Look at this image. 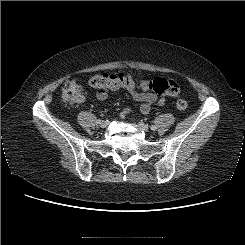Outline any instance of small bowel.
Masks as SVG:
<instances>
[{
    "mask_svg": "<svg viewBox=\"0 0 245 245\" xmlns=\"http://www.w3.org/2000/svg\"><path fill=\"white\" fill-rule=\"evenodd\" d=\"M131 97L135 100L140 102V112L143 115H147L150 112L152 105H158L163 106L165 104V98L164 97H158L155 93L148 92V91H140L136 87H126L124 88ZM108 92L107 91H97L96 97L97 99L103 101L108 98ZM131 111L130 107H125L121 111V118H125Z\"/></svg>",
    "mask_w": 245,
    "mask_h": 245,
    "instance_id": "c3829d8e",
    "label": "small bowel"
}]
</instances>
